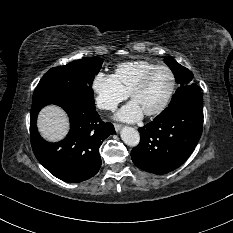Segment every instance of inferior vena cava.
I'll list each match as a JSON object with an SVG mask.
<instances>
[{"instance_id": "obj_1", "label": "inferior vena cava", "mask_w": 233, "mask_h": 233, "mask_svg": "<svg viewBox=\"0 0 233 233\" xmlns=\"http://www.w3.org/2000/svg\"><path fill=\"white\" fill-rule=\"evenodd\" d=\"M117 108L116 105H109L108 109L112 110V111H115Z\"/></svg>"}]
</instances>
